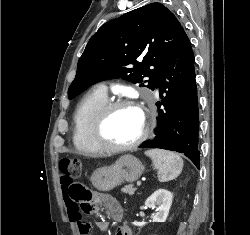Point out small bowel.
I'll return each instance as SVG.
<instances>
[{
  "instance_id": "1",
  "label": "small bowel",
  "mask_w": 250,
  "mask_h": 235,
  "mask_svg": "<svg viewBox=\"0 0 250 235\" xmlns=\"http://www.w3.org/2000/svg\"><path fill=\"white\" fill-rule=\"evenodd\" d=\"M63 198L68 216L72 222L77 224L80 235H88L90 224L83 220L80 210H78V204L71 198L70 190L67 186L63 188ZM99 203L112 218L116 220L121 219L122 208L117 200L111 197H102ZM82 211L83 213L91 212V210ZM97 227L99 230L104 231L107 228V223L105 221H99L97 222ZM115 235H132V230L128 225L122 224L117 227Z\"/></svg>"
}]
</instances>
